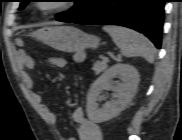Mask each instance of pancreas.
<instances>
[{"instance_id": "obj_1", "label": "pancreas", "mask_w": 182, "mask_h": 140, "mask_svg": "<svg viewBox=\"0 0 182 140\" xmlns=\"http://www.w3.org/2000/svg\"><path fill=\"white\" fill-rule=\"evenodd\" d=\"M107 67H108L107 62L97 61L94 63L92 70L94 71L95 74H99L102 71L106 70Z\"/></svg>"}]
</instances>
